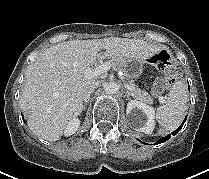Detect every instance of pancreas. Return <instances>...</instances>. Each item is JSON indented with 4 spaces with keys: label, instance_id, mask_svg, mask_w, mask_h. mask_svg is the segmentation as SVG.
<instances>
[{
    "label": "pancreas",
    "instance_id": "obj_1",
    "mask_svg": "<svg viewBox=\"0 0 209 179\" xmlns=\"http://www.w3.org/2000/svg\"><path fill=\"white\" fill-rule=\"evenodd\" d=\"M110 62H111V67L114 70H122L120 62L114 61L112 59L110 60ZM130 87L131 90L129 92L134 99L139 100L140 102L143 103H148V104L153 103L152 97L146 91L141 90L140 88H138V86H136L132 82L130 83Z\"/></svg>",
    "mask_w": 209,
    "mask_h": 179
}]
</instances>
